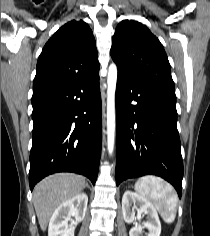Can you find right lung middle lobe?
Wrapping results in <instances>:
<instances>
[{
    "label": "right lung middle lobe",
    "mask_w": 210,
    "mask_h": 236,
    "mask_svg": "<svg viewBox=\"0 0 210 236\" xmlns=\"http://www.w3.org/2000/svg\"><path fill=\"white\" fill-rule=\"evenodd\" d=\"M52 92L53 91L46 90V89L36 90L33 92L32 100L40 98V97L45 96V95L52 93Z\"/></svg>",
    "instance_id": "right-lung-middle-lobe-1"
}]
</instances>
